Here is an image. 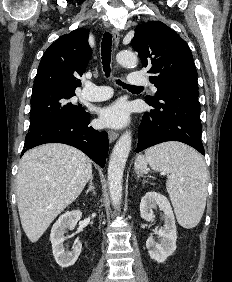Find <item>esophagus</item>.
I'll return each mask as SVG.
<instances>
[{
	"label": "esophagus",
	"mask_w": 232,
	"mask_h": 282,
	"mask_svg": "<svg viewBox=\"0 0 232 282\" xmlns=\"http://www.w3.org/2000/svg\"><path fill=\"white\" fill-rule=\"evenodd\" d=\"M112 36H113L114 44L115 46H117L120 40L119 30L114 28L112 30ZM108 137H109L110 142H113L118 138V133L116 131L110 130L108 131Z\"/></svg>",
	"instance_id": "1"
}]
</instances>
